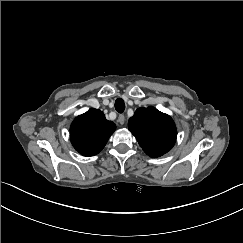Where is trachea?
<instances>
[{
  "label": "trachea",
  "mask_w": 243,
  "mask_h": 243,
  "mask_svg": "<svg viewBox=\"0 0 243 243\" xmlns=\"http://www.w3.org/2000/svg\"><path fill=\"white\" fill-rule=\"evenodd\" d=\"M115 109L119 112V113H123L125 110V102L123 99L118 98L115 101Z\"/></svg>",
  "instance_id": "obj_1"
}]
</instances>
